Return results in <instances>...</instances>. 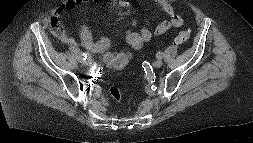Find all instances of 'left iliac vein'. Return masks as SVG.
<instances>
[{
  "mask_svg": "<svg viewBox=\"0 0 253 143\" xmlns=\"http://www.w3.org/2000/svg\"><path fill=\"white\" fill-rule=\"evenodd\" d=\"M163 65V61L162 60H156L155 62H154V64H153V66L155 67V68H159V67H161Z\"/></svg>",
  "mask_w": 253,
  "mask_h": 143,
  "instance_id": "1",
  "label": "left iliac vein"
}]
</instances>
